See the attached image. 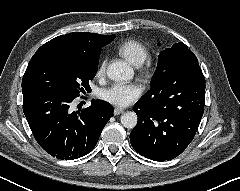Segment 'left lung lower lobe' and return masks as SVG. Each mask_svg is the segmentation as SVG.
<instances>
[{"mask_svg": "<svg viewBox=\"0 0 240 191\" xmlns=\"http://www.w3.org/2000/svg\"><path fill=\"white\" fill-rule=\"evenodd\" d=\"M203 74L180 83L179 90H165L151 99L141 98L134 106L138 124L130 134L132 147L154 161L171 160L193 140L205 103Z\"/></svg>", "mask_w": 240, "mask_h": 191, "instance_id": "1", "label": "left lung lower lobe"}]
</instances>
